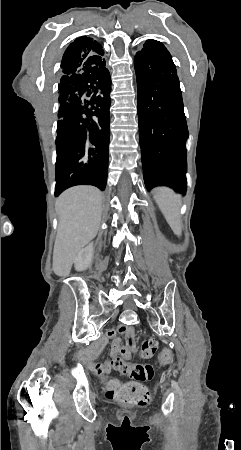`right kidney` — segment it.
<instances>
[{
	"label": "right kidney",
	"mask_w": 241,
	"mask_h": 450,
	"mask_svg": "<svg viewBox=\"0 0 241 450\" xmlns=\"http://www.w3.org/2000/svg\"><path fill=\"white\" fill-rule=\"evenodd\" d=\"M93 248V242H91V244H88L86 248H83V250H80L79 254H77L74 260V268L77 272H83V270H87V268L91 266Z\"/></svg>",
	"instance_id": "obj_1"
}]
</instances>
